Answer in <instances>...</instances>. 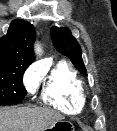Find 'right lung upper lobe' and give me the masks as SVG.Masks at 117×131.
<instances>
[{"label": "right lung upper lobe", "instance_id": "right-lung-upper-lobe-1", "mask_svg": "<svg viewBox=\"0 0 117 131\" xmlns=\"http://www.w3.org/2000/svg\"><path fill=\"white\" fill-rule=\"evenodd\" d=\"M35 38L32 24L22 19L13 20L8 33L0 38V67L9 65L28 67L34 61Z\"/></svg>", "mask_w": 117, "mask_h": 131}]
</instances>
